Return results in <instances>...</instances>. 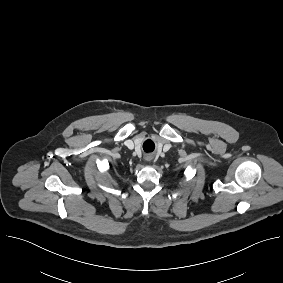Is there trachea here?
<instances>
[{"instance_id": "trachea-1", "label": "trachea", "mask_w": 283, "mask_h": 283, "mask_svg": "<svg viewBox=\"0 0 283 283\" xmlns=\"http://www.w3.org/2000/svg\"><path fill=\"white\" fill-rule=\"evenodd\" d=\"M147 143H152V141H150V140L146 141V142L143 144V147H144V145H147Z\"/></svg>"}]
</instances>
